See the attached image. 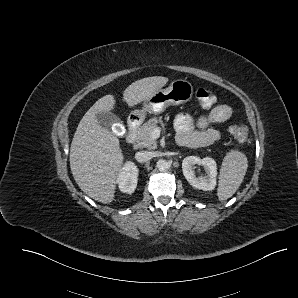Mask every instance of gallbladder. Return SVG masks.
Returning a JSON list of instances; mask_svg holds the SVG:
<instances>
[{
	"instance_id": "obj_1",
	"label": "gallbladder",
	"mask_w": 298,
	"mask_h": 298,
	"mask_svg": "<svg viewBox=\"0 0 298 298\" xmlns=\"http://www.w3.org/2000/svg\"><path fill=\"white\" fill-rule=\"evenodd\" d=\"M96 119L99 125L108 131H112L113 126L120 123L119 117L110 111L98 112Z\"/></svg>"
}]
</instances>
